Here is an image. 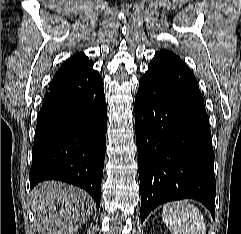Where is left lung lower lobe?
Instances as JSON below:
<instances>
[{
  "instance_id": "1",
  "label": "left lung lower lobe",
  "mask_w": 241,
  "mask_h": 234,
  "mask_svg": "<svg viewBox=\"0 0 241 234\" xmlns=\"http://www.w3.org/2000/svg\"><path fill=\"white\" fill-rule=\"evenodd\" d=\"M135 132L141 222L158 205L184 198L200 201L215 218L209 118L195 76L170 51H157L139 82Z\"/></svg>"
}]
</instances>
